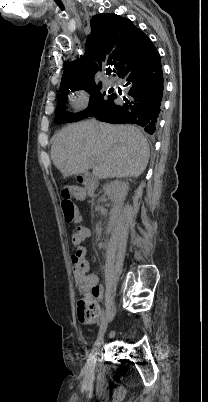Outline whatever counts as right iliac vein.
<instances>
[{
	"instance_id": "obj_1",
	"label": "right iliac vein",
	"mask_w": 208,
	"mask_h": 402,
	"mask_svg": "<svg viewBox=\"0 0 208 402\" xmlns=\"http://www.w3.org/2000/svg\"><path fill=\"white\" fill-rule=\"evenodd\" d=\"M107 325H108V321H107V319H105L100 326L97 340L95 342V345L92 349V352H91L89 359L87 361V364H86V371L89 373L93 372V370H94V367H95V364L97 361V355H98L100 346L103 343Z\"/></svg>"
}]
</instances>
